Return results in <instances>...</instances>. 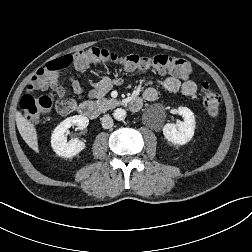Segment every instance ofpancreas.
I'll use <instances>...</instances> for the list:
<instances>
[{"label": "pancreas", "mask_w": 252, "mask_h": 252, "mask_svg": "<svg viewBox=\"0 0 252 252\" xmlns=\"http://www.w3.org/2000/svg\"><path fill=\"white\" fill-rule=\"evenodd\" d=\"M120 104L116 99L101 98L95 101V105L100 112H106Z\"/></svg>", "instance_id": "cf45deb5"}]
</instances>
